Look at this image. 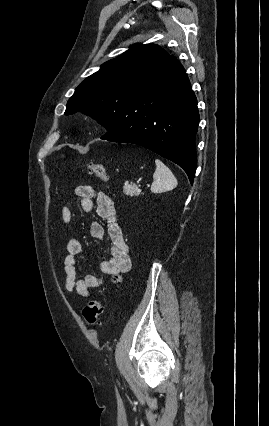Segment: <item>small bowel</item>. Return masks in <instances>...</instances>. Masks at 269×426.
<instances>
[{
    "mask_svg": "<svg viewBox=\"0 0 269 426\" xmlns=\"http://www.w3.org/2000/svg\"><path fill=\"white\" fill-rule=\"evenodd\" d=\"M75 194L80 199V207L84 212L96 209L97 215L108 223L107 233L111 241V258L104 261L100 270L103 274L118 281L124 273L131 268V257L124 233L119 224L112 199L103 192L97 191L90 185H79ZM61 218L65 224L74 221V212L69 207L61 211ZM90 235L96 240H103L105 229L100 222L94 221L90 226ZM82 251V243L77 238H70L66 242V256L64 258V285L69 293H76L83 298H88L92 290L102 286L103 279L94 274L78 276L76 256Z\"/></svg>",
    "mask_w": 269,
    "mask_h": 426,
    "instance_id": "1",
    "label": "small bowel"
}]
</instances>
